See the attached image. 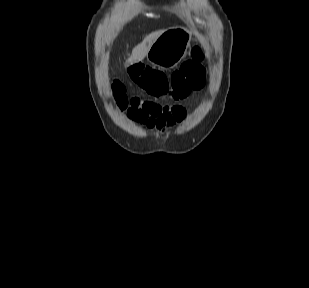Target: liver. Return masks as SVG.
<instances>
[{
    "mask_svg": "<svg viewBox=\"0 0 309 288\" xmlns=\"http://www.w3.org/2000/svg\"><path fill=\"white\" fill-rule=\"evenodd\" d=\"M163 30L155 31L148 36L134 49L132 50V55L128 59V63L133 64L139 61H142L144 57L147 55L150 47L152 46L153 42L163 33Z\"/></svg>",
    "mask_w": 309,
    "mask_h": 288,
    "instance_id": "6515ba94",
    "label": "liver"
}]
</instances>
